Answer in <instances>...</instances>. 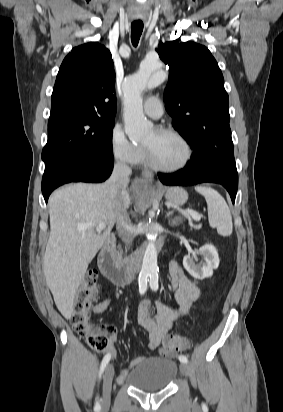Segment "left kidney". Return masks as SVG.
Here are the masks:
<instances>
[{
  "mask_svg": "<svg viewBox=\"0 0 283 412\" xmlns=\"http://www.w3.org/2000/svg\"><path fill=\"white\" fill-rule=\"evenodd\" d=\"M197 254L203 256L202 266L195 264V255H186L183 258L184 268L191 276L199 280L212 276L213 270L218 268L220 262L216 248L211 244H205Z\"/></svg>",
  "mask_w": 283,
  "mask_h": 412,
  "instance_id": "1",
  "label": "left kidney"
}]
</instances>
